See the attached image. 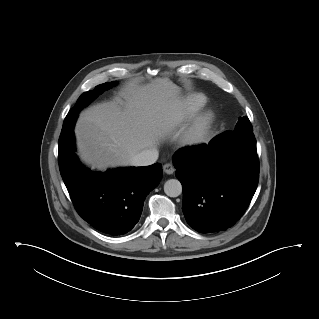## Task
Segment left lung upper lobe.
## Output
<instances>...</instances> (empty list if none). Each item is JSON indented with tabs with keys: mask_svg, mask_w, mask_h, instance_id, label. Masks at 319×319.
Returning <instances> with one entry per match:
<instances>
[{
	"mask_svg": "<svg viewBox=\"0 0 319 319\" xmlns=\"http://www.w3.org/2000/svg\"><path fill=\"white\" fill-rule=\"evenodd\" d=\"M233 132L254 135L252 125L246 116L239 119Z\"/></svg>",
	"mask_w": 319,
	"mask_h": 319,
	"instance_id": "1",
	"label": "left lung upper lobe"
}]
</instances>
